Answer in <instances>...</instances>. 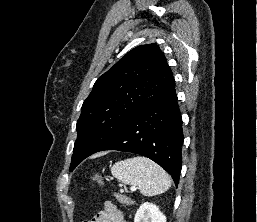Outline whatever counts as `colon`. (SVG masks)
I'll use <instances>...</instances> for the list:
<instances>
[{"label":"colon","instance_id":"colon-1","mask_svg":"<svg viewBox=\"0 0 257 222\" xmlns=\"http://www.w3.org/2000/svg\"><path fill=\"white\" fill-rule=\"evenodd\" d=\"M95 178L98 179L99 182H103L102 178L99 175H96ZM116 197L123 204L129 203V198L121 193H116Z\"/></svg>","mask_w":257,"mask_h":222}]
</instances>
